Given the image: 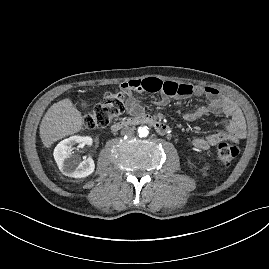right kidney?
Instances as JSON below:
<instances>
[{
	"label": "right kidney",
	"instance_id": "right-kidney-1",
	"mask_svg": "<svg viewBox=\"0 0 269 269\" xmlns=\"http://www.w3.org/2000/svg\"><path fill=\"white\" fill-rule=\"evenodd\" d=\"M91 145V137L71 136L61 141L54 149V158L60 171L69 177L83 178L94 172L95 164L92 158L80 161L79 157L71 153L74 145Z\"/></svg>",
	"mask_w": 269,
	"mask_h": 269
}]
</instances>
